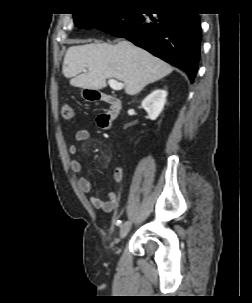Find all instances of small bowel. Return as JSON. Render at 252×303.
Instances as JSON below:
<instances>
[{
  "instance_id": "c3829d8e",
  "label": "small bowel",
  "mask_w": 252,
  "mask_h": 303,
  "mask_svg": "<svg viewBox=\"0 0 252 303\" xmlns=\"http://www.w3.org/2000/svg\"><path fill=\"white\" fill-rule=\"evenodd\" d=\"M99 126L102 128H106L105 123H99ZM90 131L87 129H82L76 132L75 134V140L77 142H85L90 139ZM78 152V147L76 144H71L68 148L69 155L75 156ZM70 170L72 173L77 175V183L81 189L82 192L89 195V201L90 203L97 209H100L104 212H112L114 209L117 208L119 205L120 200V192L118 190H112L109 193V199L107 201L103 200L97 193L93 191L92 184L90 181L81 175L82 167L81 164L77 161L72 159L70 161ZM123 176V169L117 168V170L114 173V179L117 183H119L122 180Z\"/></svg>"
}]
</instances>
